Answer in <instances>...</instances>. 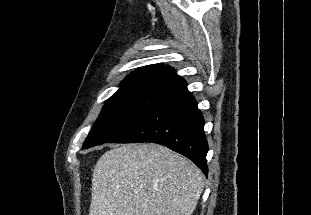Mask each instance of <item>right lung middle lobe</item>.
<instances>
[{"label": "right lung middle lobe", "instance_id": "1", "mask_svg": "<svg viewBox=\"0 0 311 215\" xmlns=\"http://www.w3.org/2000/svg\"><path fill=\"white\" fill-rule=\"evenodd\" d=\"M168 85L121 87L103 106L83 149L111 142L132 128L163 97Z\"/></svg>", "mask_w": 311, "mask_h": 215}]
</instances>
